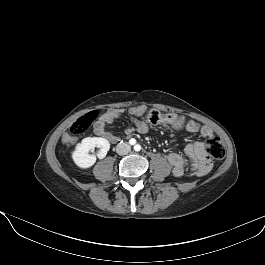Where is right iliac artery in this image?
Instances as JSON below:
<instances>
[{"mask_svg":"<svg viewBox=\"0 0 265 265\" xmlns=\"http://www.w3.org/2000/svg\"><path fill=\"white\" fill-rule=\"evenodd\" d=\"M135 142H136L135 139H131V140H130V144H132V145L135 144Z\"/></svg>","mask_w":265,"mask_h":265,"instance_id":"1","label":"right iliac artery"}]
</instances>
